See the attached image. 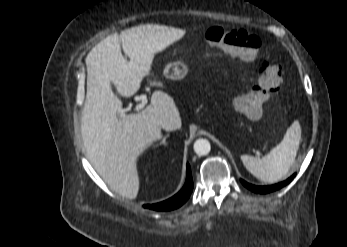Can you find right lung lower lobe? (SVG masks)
Returning <instances> with one entry per match:
<instances>
[{
  "instance_id": "1",
  "label": "right lung lower lobe",
  "mask_w": 347,
  "mask_h": 247,
  "mask_svg": "<svg viewBox=\"0 0 347 247\" xmlns=\"http://www.w3.org/2000/svg\"><path fill=\"white\" fill-rule=\"evenodd\" d=\"M193 190V180L191 176V169L187 164V178L184 187L173 197L160 203L152 205H144L145 208L157 210V211H168L180 207L189 198Z\"/></svg>"
}]
</instances>
